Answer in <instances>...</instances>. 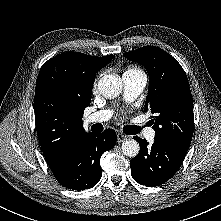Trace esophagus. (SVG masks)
I'll return each mask as SVG.
<instances>
[{
    "instance_id": "1",
    "label": "esophagus",
    "mask_w": 221,
    "mask_h": 221,
    "mask_svg": "<svg viewBox=\"0 0 221 221\" xmlns=\"http://www.w3.org/2000/svg\"><path fill=\"white\" fill-rule=\"evenodd\" d=\"M127 138H126V136L124 135V134H122V133H117V141L118 142H122V141H124V140H126Z\"/></svg>"
}]
</instances>
